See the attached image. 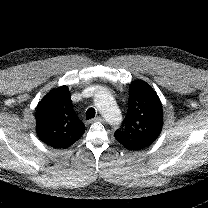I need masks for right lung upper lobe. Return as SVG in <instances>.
<instances>
[{
	"label": "right lung upper lobe",
	"mask_w": 208,
	"mask_h": 208,
	"mask_svg": "<svg viewBox=\"0 0 208 208\" xmlns=\"http://www.w3.org/2000/svg\"><path fill=\"white\" fill-rule=\"evenodd\" d=\"M35 118L38 137L53 148H67L85 132L65 85L52 89L44 96L36 108Z\"/></svg>",
	"instance_id": "cb5924a9"
}]
</instances>
